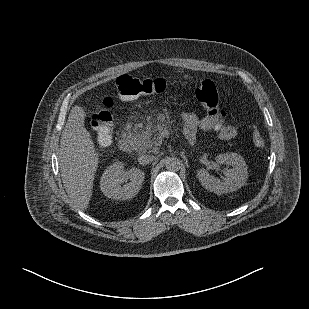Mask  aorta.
<instances>
[{"label": "aorta", "mask_w": 309, "mask_h": 309, "mask_svg": "<svg viewBox=\"0 0 309 309\" xmlns=\"http://www.w3.org/2000/svg\"><path fill=\"white\" fill-rule=\"evenodd\" d=\"M165 167L168 171L177 172L180 170L182 163L181 161L176 157H167L164 160Z\"/></svg>", "instance_id": "aorta-1"}]
</instances>
